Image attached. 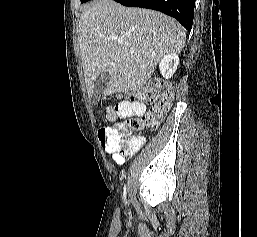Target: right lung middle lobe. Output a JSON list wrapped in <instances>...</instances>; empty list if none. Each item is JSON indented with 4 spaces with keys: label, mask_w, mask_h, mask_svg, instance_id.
<instances>
[{
    "label": "right lung middle lobe",
    "mask_w": 257,
    "mask_h": 237,
    "mask_svg": "<svg viewBox=\"0 0 257 237\" xmlns=\"http://www.w3.org/2000/svg\"><path fill=\"white\" fill-rule=\"evenodd\" d=\"M87 1H89V0H81V3H84V2H87Z\"/></svg>",
    "instance_id": "right-lung-middle-lobe-1"
}]
</instances>
